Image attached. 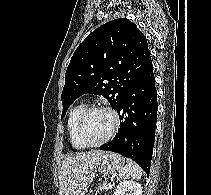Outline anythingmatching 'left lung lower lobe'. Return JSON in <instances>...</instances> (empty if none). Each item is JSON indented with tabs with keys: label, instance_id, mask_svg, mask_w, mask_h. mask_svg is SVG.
<instances>
[{
	"label": "left lung lower lobe",
	"instance_id": "obj_1",
	"mask_svg": "<svg viewBox=\"0 0 211 195\" xmlns=\"http://www.w3.org/2000/svg\"><path fill=\"white\" fill-rule=\"evenodd\" d=\"M157 90L150 61L135 79L117 112L121 128L100 149L133 159L147 174L150 171L157 122Z\"/></svg>",
	"mask_w": 211,
	"mask_h": 195
}]
</instances>
